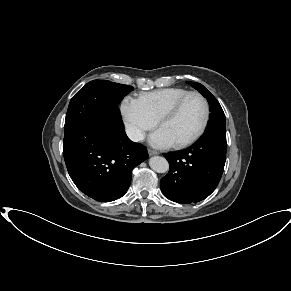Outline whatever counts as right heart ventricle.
I'll list each match as a JSON object with an SVG mask.
<instances>
[{
  "label": "right heart ventricle",
  "instance_id": "obj_1",
  "mask_svg": "<svg viewBox=\"0 0 291 291\" xmlns=\"http://www.w3.org/2000/svg\"><path fill=\"white\" fill-rule=\"evenodd\" d=\"M189 92L183 88H163L141 93L138 99L150 117L157 121L165 111Z\"/></svg>",
  "mask_w": 291,
  "mask_h": 291
}]
</instances>
